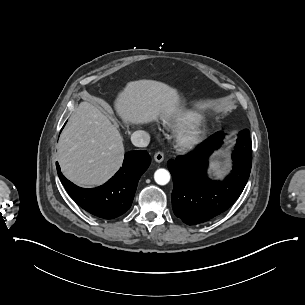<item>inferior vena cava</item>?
Segmentation results:
<instances>
[{
  "label": "inferior vena cava",
  "mask_w": 305,
  "mask_h": 305,
  "mask_svg": "<svg viewBox=\"0 0 305 305\" xmlns=\"http://www.w3.org/2000/svg\"><path fill=\"white\" fill-rule=\"evenodd\" d=\"M131 142L136 147H146L150 142V137L145 131L137 130L132 133Z\"/></svg>",
  "instance_id": "inferior-vena-cava-1"
}]
</instances>
